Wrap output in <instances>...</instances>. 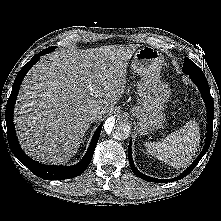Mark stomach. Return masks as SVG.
I'll list each match as a JSON object with an SVG mask.
<instances>
[{
  "label": "stomach",
  "mask_w": 221,
  "mask_h": 221,
  "mask_svg": "<svg viewBox=\"0 0 221 221\" xmlns=\"http://www.w3.org/2000/svg\"><path fill=\"white\" fill-rule=\"evenodd\" d=\"M163 65V55L153 47H142L134 54L131 68L140 75L141 80L137 85L140 98L131 113L137 120L140 134L146 135L165 122L164 105L170 98L171 90L160 80Z\"/></svg>",
  "instance_id": "0dacf381"
}]
</instances>
